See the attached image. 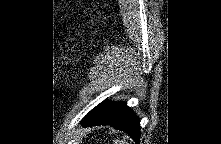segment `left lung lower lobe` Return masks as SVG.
<instances>
[{
    "label": "left lung lower lobe",
    "mask_w": 221,
    "mask_h": 144,
    "mask_svg": "<svg viewBox=\"0 0 221 144\" xmlns=\"http://www.w3.org/2000/svg\"><path fill=\"white\" fill-rule=\"evenodd\" d=\"M82 125H111L125 131L135 142L139 143L140 120L125 102L101 103L84 117Z\"/></svg>",
    "instance_id": "0a47b994"
}]
</instances>
